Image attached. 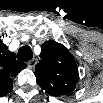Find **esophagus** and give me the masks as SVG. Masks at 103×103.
<instances>
[{
    "label": "esophagus",
    "mask_w": 103,
    "mask_h": 103,
    "mask_svg": "<svg viewBox=\"0 0 103 103\" xmlns=\"http://www.w3.org/2000/svg\"><path fill=\"white\" fill-rule=\"evenodd\" d=\"M36 64H37V60H36L35 58H33V59H31V60L28 62V67H29L30 69H34L35 66H36Z\"/></svg>",
    "instance_id": "esophagus-1"
}]
</instances>
